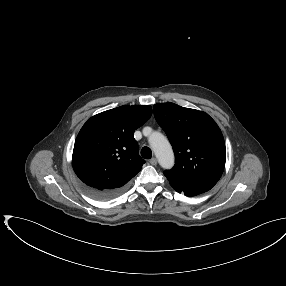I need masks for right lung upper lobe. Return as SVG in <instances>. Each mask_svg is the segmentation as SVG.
I'll return each mask as SVG.
<instances>
[{"label": "right lung upper lobe", "instance_id": "cb5924a9", "mask_svg": "<svg viewBox=\"0 0 286 286\" xmlns=\"http://www.w3.org/2000/svg\"><path fill=\"white\" fill-rule=\"evenodd\" d=\"M151 106L125 105L91 117L73 150L76 175L90 188L123 190L142 168L134 131L149 120Z\"/></svg>", "mask_w": 286, "mask_h": 286}]
</instances>
